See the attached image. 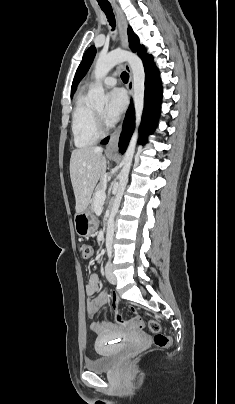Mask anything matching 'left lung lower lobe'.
<instances>
[{
  "label": "left lung lower lobe",
  "mask_w": 235,
  "mask_h": 404,
  "mask_svg": "<svg viewBox=\"0 0 235 404\" xmlns=\"http://www.w3.org/2000/svg\"><path fill=\"white\" fill-rule=\"evenodd\" d=\"M146 80H145V107L142 116V123L140 126V132L143 135L141 142L145 140V136L149 134L156 126V120L160 112V102H161V82L159 80L158 70L153 64V59L151 55H146L142 58ZM134 109L131 104L129 110L127 111L123 131L119 140L120 152L123 153L130 140L134 129ZM109 137L105 138L102 143L106 144Z\"/></svg>",
  "instance_id": "obj_1"
}]
</instances>
